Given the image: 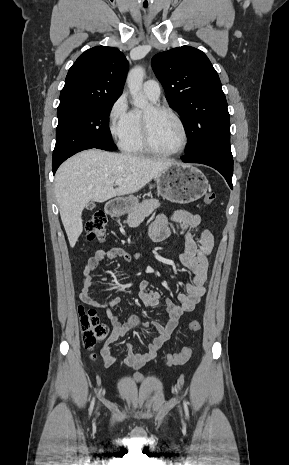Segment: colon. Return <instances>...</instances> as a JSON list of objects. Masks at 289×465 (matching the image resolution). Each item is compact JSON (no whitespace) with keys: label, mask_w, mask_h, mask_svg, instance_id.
<instances>
[{"label":"colon","mask_w":289,"mask_h":465,"mask_svg":"<svg viewBox=\"0 0 289 465\" xmlns=\"http://www.w3.org/2000/svg\"><path fill=\"white\" fill-rule=\"evenodd\" d=\"M216 194L214 191H209L205 197L204 202L207 205L215 201ZM107 222L106 215L99 211L96 212L92 218L87 222L88 238L90 240H102L105 237V225ZM79 317L81 323V338L82 344L85 349L92 351L98 343H100L106 336V328L100 321L99 316L93 309L79 308ZM192 332H198L201 325L197 321H192L188 326ZM192 355V348L188 345L184 346L179 352L168 354L166 357V364L168 366L180 365L186 363Z\"/></svg>","instance_id":"colon-1"}]
</instances>
